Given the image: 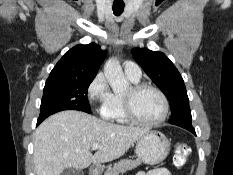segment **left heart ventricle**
<instances>
[{
    "mask_svg": "<svg viewBox=\"0 0 233 175\" xmlns=\"http://www.w3.org/2000/svg\"><path fill=\"white\" fill-rule=\"evenodd\" d=\"M129 89L125 94H129ZM135 115L142 121L157 120L163 112V103L160 96L153 90H143L133 96Z\"/></svg>",
    "mask_w": 233,
    "mask_h": 175,
    "instance_id": "left-heart-ventricle-1",
    "label": "left heart ventricle"
}]
</instances>
